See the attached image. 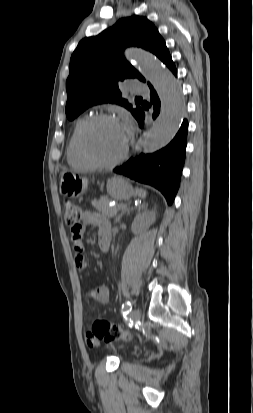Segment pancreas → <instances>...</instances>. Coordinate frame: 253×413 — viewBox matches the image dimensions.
Returning <instances> with one entry per match:
<instances>
[{
  "label": "pancreas",
  "instance_id": "pancreas-1",
  "mask_svg": "<svg viewBox=\"0 0 253 413\" xmlns=\"http://www.w3.org/2000/svg\"><path fill=\"white\" fill-rule=\"evenodd\" d=\"M110 202L111 200L108 198H100L99 200L94 199L92 201V205L94 208L100 211L107 218H113L114 216H116L117 211L121 209L120 208L121 205L111 207L109 205Z\"/></svg>",
  "mask_w": 253,
  "mask_h": 413
}]
</instances>
